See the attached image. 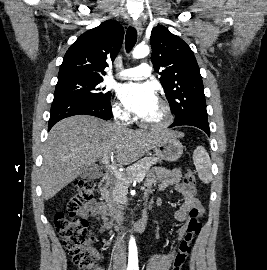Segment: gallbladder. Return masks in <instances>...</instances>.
<instances>
[{
	"label": "gallbladder",
	"instance_id": "gallbladder-1",
	"mask_svg": "<svg viewBox=\"0 0 267 270\" xmlns=\"http://www.w3.org/2000/svg\"><path fill=\"white\" fill-rule=\"evenodd\" d=\"M79 177L82 179H99L102 177V171L95 166H86L81 169Z\"/></svg>",
	"mask_w": 267,
	"mask_h": 270
}]
</instances>
